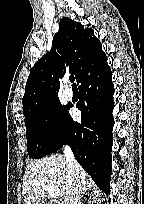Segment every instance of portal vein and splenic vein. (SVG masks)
Wrapping results in <instances>:
<instances>
[{
    "mask_svg": "<svg viewBox=\"0 0 144 204\" xmlns=\"http://www.w3.org/2000/svg\"><path fill=\"white\" fill-rule=\"evenodd\" d=\"M44 190L48 193V195L53 198V199H57L60 196V191L59 189L46 185L44 187Z\"/></svg>",
    "mask_w": 144,
    "mask_h": 204,
    "instance_id": "obj_1",
    "label": "portal vein and splenic vein"
}]
</instances>
